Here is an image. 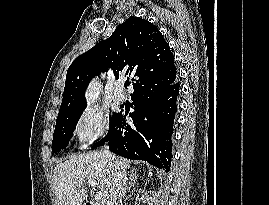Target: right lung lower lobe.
<instances>
[{
	"instance_id": "right-lung-lower-lobe-1",
	"label": "right lung lower lobe",
	"mask_w": 269,
	"mask_h": 205,
	"mask_svg": "<svg viewBox=\"0 0 269 205\" xmlns=\"http://www.w3.org/2000/svg\"><path fill=\"white\" fill-rule=\"evenodd\" d=\"M179 83L141 90L131 95L133 122H125L121 113L110 124L105 138L109 150L128 159L144 160L168 172L172 158V133L177 111Z\"/></svg>"
}]
</instances>
